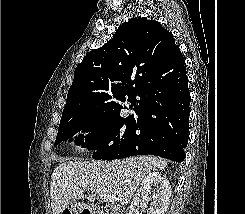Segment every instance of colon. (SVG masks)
Segmentation results:
<instances>
[{
    "label": "colon",
    "mask_w": 245,
    "mask_h": 214,
    "mask_svg": "<svg viewBox=\"0 0 245 214\" xmlns=\"http://www.w3.org/2000/svg\"><path fill=\"white\" fill-rule=\"evenodd\" d=\"M84 214H89V212H85Z\"/></svg>",
    "instance_id": "1"
}]
</instances>
